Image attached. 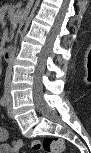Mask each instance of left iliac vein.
Here are the masks:
<instances>
[{
    "mask_svg": "<svg viewBox=\"0 0 91 153\" xmlns=\"http://www.w3.org/2000/svg\"><path fill=\"white\" fill-rule=\"evenodd\" d=\"M7 113L10 117L13 116L12 99L10 95L7 96Z\"/></svg>",
    "mask_w": 91,
    "mask_h": 153,
    "instance_id": "4c4485c4",
    "label": "left iliac vein"
}]
</instances>
